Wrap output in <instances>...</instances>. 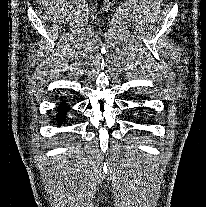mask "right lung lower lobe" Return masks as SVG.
Segmentation results:
<instances>
[{"label":"right lung lower lobe","mask_w":206,"mask_h":207,"mask_svg":"<svg viewBox=\"0 0 206 207\" xmlns=\"http://www.w3.org/2000/svg\"><path fill=\"white\" fill-rule=\"evenodd\" d=\"M68 108H66V104H65V101L59 105V108H58V120H59V123L63 122V118L65 117V114L67 112Z\"/></svg>","instance_id":"98d812e1"}]
</instances>
